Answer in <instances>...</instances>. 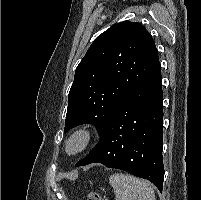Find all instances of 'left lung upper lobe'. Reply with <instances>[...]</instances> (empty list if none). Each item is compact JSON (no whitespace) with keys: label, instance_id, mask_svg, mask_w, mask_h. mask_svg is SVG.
Returning <instances> with one entry per match:
<instances>
[{"label":"left lung upper lobe","instance_id":"left-lung-upper-lobe-1","mask_svg":"<svg viewBox=\"0 0 201 200\" xmlns=\"http://www.w3.org/2000/svg\"><path fill=\"white\" fill-rule=\"evenodd\" d=\"M158 62L142 24L120 22L103 32L76 68L64 131L89 123L100 134L117 105Z\"/></svg>","mask_w":201,"mask_h":200}]
</instances>
